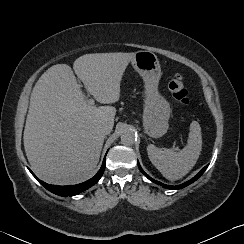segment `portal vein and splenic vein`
<instances>
[{
	"mask_svg": "<svg viewBox=\"0 0 244 244\" xmlns=\"http://www.w3.org/2000/svg\"><path fill=\"white\" fill-rule=\"evenodd\" d=\"M87 103H88L89 105H93L95 102H94L93 99H89V100H87ZM176 150H178V148H176Z\"/></svg>",
	"mask_w": 244,
	"mask_h": 244,
	"instance_id": "18ae733b",
	"label": "portal vein and splenic vein"
}]
</instances>
